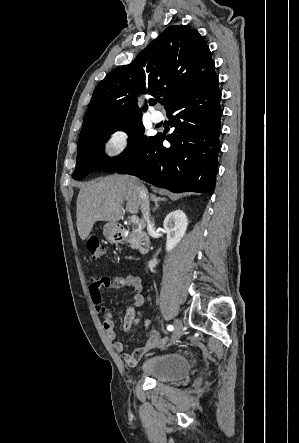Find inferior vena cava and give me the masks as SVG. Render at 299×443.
I'll list each match as a JSON object with an SVG mask.
<instances>
[{"instance_id": "obj_1", "label": "inferior vena cava", "mask_w": 299, "mask_h": 443, "mask_svg": "<svg viewBox=\"0 0 299 443\" xmlns=\"http://www.w3.org/2000/svg\"><path fill=\"white\" fill-rule=\"evenodd\" d=\"M136 189L139 194V198L141 200L140 209H141L143 218L147 222H149L150 221V207H149L150 202H149V196H148L147 189L142 184H138L136 186Z\"/></svg>"}]
</instances>
